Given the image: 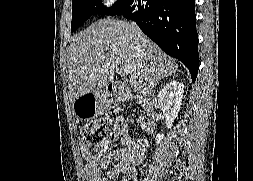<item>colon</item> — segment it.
<instances>
[{"label": "colon", "mask_w": 253, "mask_h": 181, "mask_svg": "<svg viewBox=\"0 0 253 181\" xmlns=\"http://www.w3.org/2000/svg\"><path fill=\"white\" fill-rule=\"evenodd\" d=\"M122 123L109 117L84 126L80 133V143L87 161L98 159L111 145Z\"/></svg>", "instance_id": "obj_1"}]
</instances>
